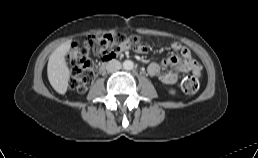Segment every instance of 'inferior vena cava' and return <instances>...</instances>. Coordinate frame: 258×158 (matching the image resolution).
I'll return each instance as SVG.
<instances>
[{
	"instance_id": "obj_1",
	"label": "inferior vena cava",
	"mask_w": 258,
	"mask_h": 158,
	"mask_svg": "<svg viewBox=\"0 0 258 158\" xmlns=\"http://www.w3.org/2000/svg\"><path fill=\"white\" fill-rule=\"evenodd\" d=\"M121 67H122L121 63L117 60H111L106 65V69L108 72H115L121 69Z\"/></svg>"
}]
</instances>
